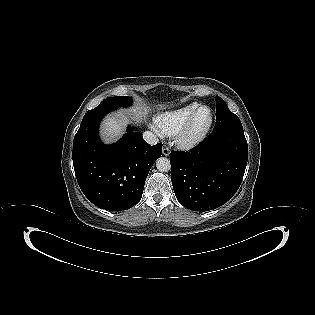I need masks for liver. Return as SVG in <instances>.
Here are the masks:
<instances>
[{
	"label": "liver",
	"mask_w": 315,
	"mask_h": 315,
	"mask_svg": "<svg viewBox=\"0 0 315 315\" xmlns=\"http://www.w3.org/2000/svg\"><path fill=\"white\" fill-rule=\"evenodd\" d=\"M164 107V105H160ZM147 108H145V111ZM135 119L141 121L142 113L141 111L134 110ZM128 115L114 114L105 118L102 124L101 134L107 142H111L120 137L124 132V127L129 121Z\"/></svg>",
	"instance_id": "1"
}]
</instances>
